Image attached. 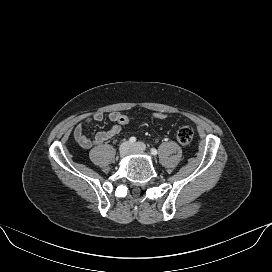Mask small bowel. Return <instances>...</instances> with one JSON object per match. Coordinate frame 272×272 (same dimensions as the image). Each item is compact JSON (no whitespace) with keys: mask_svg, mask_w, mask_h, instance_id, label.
Masks as SVG:
<instances>
[{"mask_svg":"<svg viewBox=\"0 0 272 272\" xmlns=\"http://www.w3.org/2000/svg\"><path fill=\"white\" fill-rule=\"evenodd\" d=\"M118 114L119 112L109 113L108 119L114 124L108 130L100 131L96 133L93 138H89L85 134V128L93 122L102 121L105 117L104 113L100 111L92 113L75 127L73 131L74 140L78 143L80 147L84 149H90L94 146L101 145L107 142L108 140L119 134L122 129V125L117 122Z\"/></svg>","mask_w":272,"mask_h":272,"instance_id":"obj_1","label":"small bowel"}]
</instances>
